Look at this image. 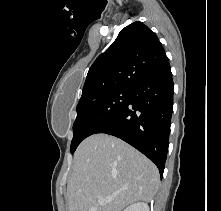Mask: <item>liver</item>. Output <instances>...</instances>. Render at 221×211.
Masks as SVG:
<instances>
[{"label":"liver","instance_id":"1","mask_svg":"<svg viewBox=\"0 0 221 211\" xmlns=\"http://www.w3.org/2000/svg\"><path fill=\"white\" fill-rule=\"evenodd\" d=\"M159 182L157 167L143 154L119 138L95 134L74 154L68 211H122L136 202H150ZM100 197L113 199L100 205Z\"/></svg>","mask_w":221,"mask_h":211}]
</instances>
